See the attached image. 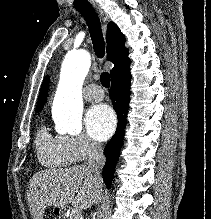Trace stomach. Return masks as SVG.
Segmentation results:
<instances>
[{"label":"stomach","mask_w":211,"mask_h":219,"mask_svg":"<svg viewBox=\"0 0 211 219\" xmlns=\"http://www.w3.org/2000/svg\"><path fill=\"white\" fill-rule=\"evenodd\" d=\"M54 212H55V214L59 215L60 218L63 217L64 214H65L64 209H61V208H58V207H55Z\"/></svg>","instance_id":"stomach-1"}]
</instances>
